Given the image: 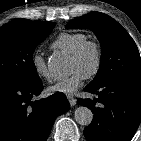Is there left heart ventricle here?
Instances as JSON below:
<instances>
[{
  "instance_id": "b2bd125f",
  "label": "left heart ventricle",
  "mask_w": 141,
  "mask_h": 141,
  "mask_svg": "<svg viewBox=\"0 0 141 141\" xmlns=\"http://www.w3.org/2000/svg\"><path fill=\"white\" fill-rule=\"evenodd\" d=\"M95 61V56L94 52L92 49H89L86 51L84 56L79 59H70V71H79L81 72L84 76L92 69Z\"/></svg>"
}]
</instances>
